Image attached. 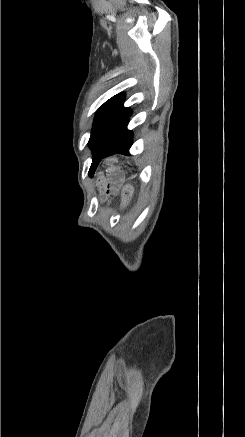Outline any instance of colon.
I'll return each mask as SVG.
<instances>
[{"label":"colon","instance_id":"obj_1","mask_svg":"<svg viewBox=\"0 0 245 437\" xmlns=\"http://www.w3.org/2000/svg\"><path fill=\"white\" fill-rule=\"evenodd\" d=\"M132 194H133L132 185H130V184L126 185V187L124 188L123 193H122L124 201H128L131 198Z\"/></svg>","mask_w":245,"mask_h":437}]
</instances>
